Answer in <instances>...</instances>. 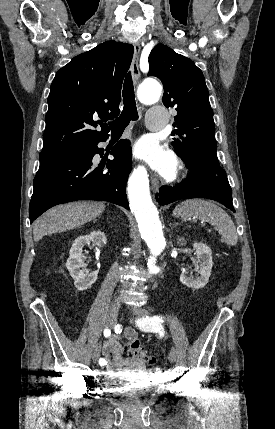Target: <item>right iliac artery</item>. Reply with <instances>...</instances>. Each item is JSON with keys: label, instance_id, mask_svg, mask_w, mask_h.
Masks as SVG:
<instances>
[{"label": "right iliac artery", "instance_id": "1", "mask_svg": "<svg viewBox=\"0 0 275 429\" xmlns=\"http://www.w3.org/2000/svg\"><path fill=\"white\" fill-rule=\"evenodd\" d=\"M110 335H111V331H110V329L106 328V329L104 330V336H105V337H110ZM99 365H100V366H104V365H106V360H105L104 358H100V360H99Z\"/></svg>", "mask_w": 275, "mask_h": 429}]
</instances>
